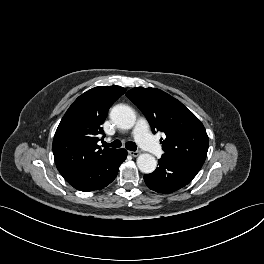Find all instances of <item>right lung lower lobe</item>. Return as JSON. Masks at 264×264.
I'll return each mask as SVG.
<instances>
[{"instance_id": "1", "label": "right lung lower lobe", "mask_w": 264, "mask_h": 264, "mask_svg": "<svg viewBox=\"0 0 264 264\" xmlns=\"http://www.w3.org/2000/svg\"><path fill=\"white\" fill-rule=\"evenodd\" d=\"M126 157L125 149H115L92 166L66 178V180L74 188L83 192L101 190L116 178L119 166Z\"/></svg>"}]
</instances>
